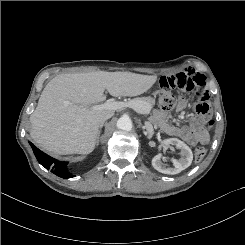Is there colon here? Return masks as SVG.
<instances>
[{
	"mask_svg": "<svg viewBox=\"0 0 245 245\" xmlns=\"http://www.w3.org/2000/svg\"><path fill=\"white\" fill-rule=\"evenodd\" d=\"M177 103L176 97L168 91H163L159 96V105L163 110H171ZM212 121L207 122V126H211ZM206 156V150L203 147H197L194 152V158L196 162L202 161Z\"/></svg>",
	"mask_w": 245,
	"mask_h": 245,
	"instance_id": "colon-1",
	"label": "colon"
}]
</instances>
